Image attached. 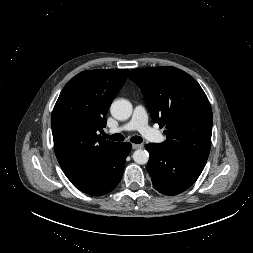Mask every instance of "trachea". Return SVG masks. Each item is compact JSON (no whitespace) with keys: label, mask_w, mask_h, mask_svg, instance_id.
Listing matches in <instances>:
<instances>
[{"label":"trachea","mask_w":253,"mask_h":253,"mask_svg":"<svg viewBox=\"0 0 253 253\" xmlns=\"http://www.w3.org/2000/svg\"><path fill=\"white\" fill-rule=\"evenodd\" d=\"M103 137L106 138V139H110L112 141H123L124 140V136L122 134H119V133H116V134H113V135H108V134L104 133ZM130 141L133 142V143H136V144H140L143 141V139L140 136H133L130 139Z\"/></svg>","instance_id":"1"}]
</instances>
